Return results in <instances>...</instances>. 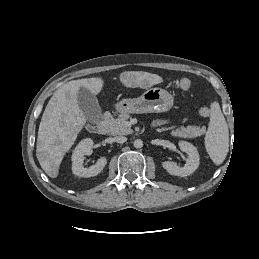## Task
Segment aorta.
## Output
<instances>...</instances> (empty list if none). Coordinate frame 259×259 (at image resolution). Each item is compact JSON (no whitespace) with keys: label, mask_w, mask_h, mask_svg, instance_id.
I'll return each instance as SVG.
<instances>
[{"label":"aorta","mask_w":259,"mask_h":259,"mask_svg":"<svg viewBox=\"0 0 259 259\" xmlns=\"http://www.w3.org/2000/svg\"><path fill=\"white\" fill-rule=\"evenodd\" d=\"M135 148H142L143 147V141L141 139H136L133 143Z\"/></svg>","instance_id":"1"}]
</instances>
